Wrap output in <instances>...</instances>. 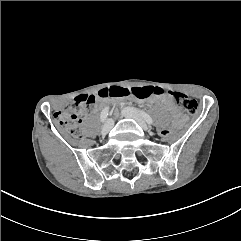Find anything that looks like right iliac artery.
<instances>
[{
  "instance_id": "82829eb1",
  "label": "right iliac artery",
  "mask_w": 241,
  "mask_h": 241,
  "mask_svg": "<svg viewBox=\"0 0 241 241\" xmlns=\"http://www.w3.org/2000/svg\"><path fill=\"white\" fill-rule=\"evenodd\" d=\"M109 108L108 107H105L103 110H102V112H101V114H100V120H101V122H105V120L107 119V116H108V110Z\"/></svg>"
}]
</instances>
